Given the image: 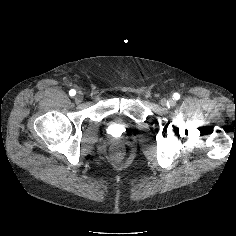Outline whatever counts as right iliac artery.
Instances as JSON below:
<instances>
[{
    "mask_svg": "<svg viewBox=\"0 0 236 236\" xmlns=\"http://www.w3.org/2000/svg\"><path fill=\"white\" fill-rule=\"evenodd\" d=\"M75 94H76V91H75L74 89H71V90L69 91V95H70V96H75Z\"/></svg>",
    "mask_w": 236,
    "mask_h": 236,
    "instance_id": "82829eb1",
    "label": "right iliac artery"
}]
</instances>
